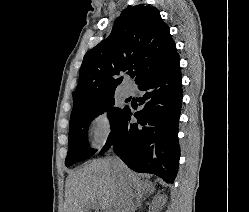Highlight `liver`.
Instances as JSON below:
<instances>
[{"instance_id": "liver-1", "label": "liver", "mask_w": 249, "mask_h": 212, "mask_svg": "<svg viewBox=\"0 0 249 212\" xmlns=\"http://www.w3.org/2000/svg\"><path fill=\"white\" fill-rule=\"evenodd\" d=\"M118 172L126 176L128 186L137 194L153 192L152 182L140 180V174L129 170L125 164L114 168L111 160H91L76 172H69L66 180L67 212H88L92 202L100 204L99 208L120 212L121 202L118 188ZM141 196V198H142Z\"/></svg>"}]
</instances>
